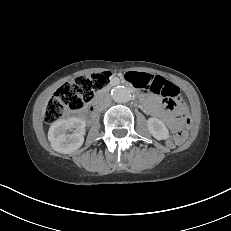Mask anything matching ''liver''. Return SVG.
Returning a JSON list of instances; mask_svg holds the SVG:
<instances>
[{
	"label": "liver",
	"instance_id": "6515ba94",
	"mask_svg": "<svg viewBox=\"0 0 231 231\" xmlns=\"http://www.w3.org/2000/svg\"><path fill=\"white\" fill-rule=\"evenodd\" d=\"M50 97H48V99L46 100L44 106H43V109H42V114L44 115L45 114V110H46V106L48 104V101H49Z\"/></svg>",
	"mask_w": 231,
	"mask_h": 231
}]
</instances>
